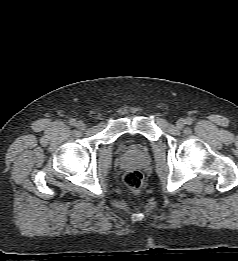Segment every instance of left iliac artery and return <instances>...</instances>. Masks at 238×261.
Instances as JSON below:
<instances>
[{
    "instance_id": "44dca946",
    "label": "left iliac artery",
    "mask_w": 238,
    "mask_h": 261,
    "mask_svg": "<svg viewBox=\"0 0 238 261\" xmlns=\"http://www.w3.org/2000/svg\"><path fill=\"white\" fill-rule=\"evenodd\" d=\"M192 123H193V119L190 118V117H188V118L186 119V124L191 125Z\"/></svg>"
}]
</instances>
